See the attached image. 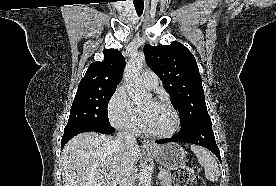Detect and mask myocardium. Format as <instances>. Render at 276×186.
Masks as SVG:
<instances>
[{
  "instance_id": "obj_1",
  "label": "myocardium",
  "mask_w": 276,
  "mask_h": 186,
  "mask_svg": "<svg viewBox=\"0 0 276 186\" xmlns=\"http://www.w3.org/2000/svg\"><path fill=\"white\" fill-rule=\"evenodd\" d=\"M155 102L168 107L172 111V113L174 115V118H175L174 126L171 130H169L167 132L158 133V132H152L149 129H147V127L145 126V124L143 122V124H142L143 132L146 135H148L150 137H153V138H169V137H172L180 128L181 119H180L179 112L172 105V103L170 101L166 100V99L159 98V99H156Z\"/></svg>"
}]
</instances>
